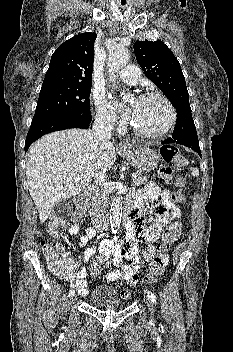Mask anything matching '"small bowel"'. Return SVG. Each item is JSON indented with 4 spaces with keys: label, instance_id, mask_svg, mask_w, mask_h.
<instances>
[{
    "label": "small bowel",
    "instance_id": "obj_1",
    "mask_svg": "<svg viewBox=\"0 0 233 352\" xmlns=\"http://www.w3.org/2000/svg\"><path fill=\"white\" fill-rule=\"evenodd\" d=\"M151 200L156 216L155 222L147 227L142 215V205L145 196ZM136 209L132 217L125 222L126 235L123 240L116 237L104 239L98 247L99 254H105L112 259L117 269L109 271L106 279L109 282L125 280L130 285H135L140 279V272L145 261L152 260L156 255L154 243L159 239L164 227L173 219L180 216V210L173 202V196L168 190H161L156 184L150 183L144 191H139L134 199ZM95 236L93 228H86L80 240V245L86 247L82 260L69 256L67 261L72 265L73 270L63 276L70 286L76 289L80 296L89 294L87 269L80 268V262L89 263L95 256L97 248L87 247L90 240ZM145 246L144 249H141ZM126 260V262H125ZM167 257L164 256L166 262Z\"/></svg>",
    "mask_w": 233,
    "mask_h": 352
}]
</instances>
